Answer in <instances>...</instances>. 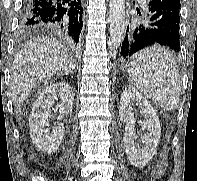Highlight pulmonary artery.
Segmentation results:
<instances>
[{
	"mask_svg": "<svg viewBox=\"0 0 197 181\" xmlns=\"http://www.w3.org/2000/svg\"><path fill=\"white\" fill-rule=\"evenodd\" d=\"M140 3H141L143 8H147L148 7V4H147L146 0H140Z\"/></svg>",
	"mask_w": 197,
	"mask_h": 181,
	"instance_id": "pulmonary-artery-1",
	"label": "pulmonary artery"
}]
</instances>
